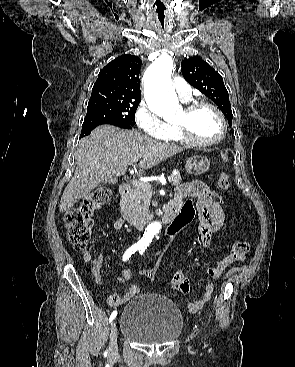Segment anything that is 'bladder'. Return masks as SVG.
<instances>
[{
    "label": "bladder",
    "instance_id": "obj_1",
    "mask_svg": "<svg viewBox=\"0 0 295 367\" xmlns=\"http://www.w3.org/2000/svg\"><path fill=\"white\" fill-rule=\"evenodd\" d=\"M182 328L180 309L162 295H139L130 300L121 312V333L137 343H167L175 340Z\"/></svg>",
    "mask_w": 295,
    "mask_h": 367
}]
</instances>
